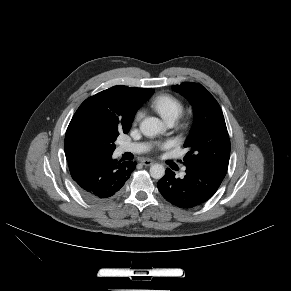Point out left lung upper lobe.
<instances>
[{
	"mask_svg": "<svg viewBox=\"0 0 291 291\" xmlns=\"http://www.w3.org/2000/svg\"><path fill=\"white\" fill-rule=\"evenodd\" d=\"M173 90L190 101L195 114L193 131L184 143V147L189 149L184 157V164L226 174L230 158V140L219 104L197 83L174 85Z\"/></svg>",
	"mask_w": 291,
	"mask_h": 291,
	"instance_id": "left-lung-upper-lobe-1",
	"label": "left lung upper lobe"
}]
</instances>
